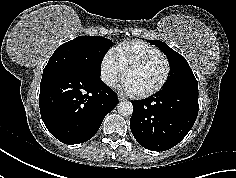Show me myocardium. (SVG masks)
<instances>
[{
	"label": "myocardium",
	"mask_w": 236,
	"mask_h": 178,
	"mask_svg": "<svg viewBox=\"0 0 236 178\" xmlns=\"http://www.w3.org/2000/svg\"><path fill=\"white\" fill-rule=\"evenodd\" d=\"M156 58H162L165 62V65H166V71H165V74L162 78V80L160 81V83L150 89V90H147V91H144V92H140V93H135L133 92V95L135 97H138V98H146V97H149V96H152L154 94H156L157 92H159L164 86L165 84L167 83L169 77H170V73H171V63L168 59V57L162 53H156V54H151V55H148L146 57H143V58H140V59H137V60H134L132 62H130L124 69V73H123V79H125L126 75L133 69L137 68V67H140L144 64H146L147 62L153 60V59H156Z\"/></svg>",
	"instance_id": "myocardium-1"
}]
</instances>
